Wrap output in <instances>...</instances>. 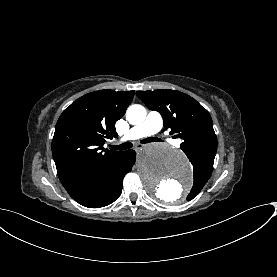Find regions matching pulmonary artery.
Returning a JSON list of instances; mask_svg holds the SVG:
<instances>
[{
	"label": "pulmonary artery",
	"instance_id": "e3ab8cb5",
	"mask_svg": "<svg viewBox=\"0 0 277 277\" xmlns=\"http://www.w3.org/2000/svg\"><path fill=\"white\" fill-rule=\"evenodd\" d=\"M165 117L162 114H155L143 124L136 125L131 128L130 132H126L122 136V141L125 144H131L133 141L140 139L144 136H151L153 133L162 131L165 124Z\"/></svg>",
	"mask_w": 277,
	"mask_h": 277
}]
</instances>
